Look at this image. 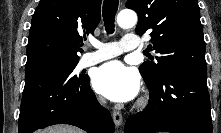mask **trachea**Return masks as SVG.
I'll list each match as a JSON object with an SVG mask.
<instances>
[{"mask_svg":"<svg viewBox=\"0 0 221 133\" xmlns=\"http://www.w3.org/2000/svg\"><path fill=\"white\" fill-rule=\"evenodd\" d=\"M118 4V0H104L103 2V20L108 34H112L114 32V21Z\"/></svg>","mask_w":221,"mask_h":133,"instance_id":"3493384b","label":"trachea"}]
</instances>
